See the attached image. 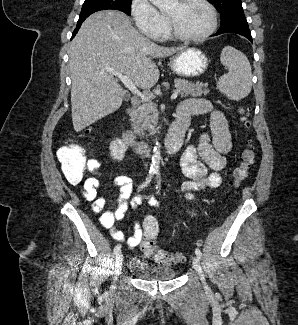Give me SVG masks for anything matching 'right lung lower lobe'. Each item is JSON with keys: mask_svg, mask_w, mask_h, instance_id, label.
<instances>
[{"mask_svg": "<svg viewBox=\"0 0 298 325\" xmlns=\"http://www.w3.org/2000/svg\"><path fill=\"white\" fill-rule=\"evenodd\" d=\"M82 22H83V20H78V22H77V26H76V28H75V30H74V32H73V37H74V36L76 35V33L78 32V30H79V28H80Z\"/></svg>", "mask_w": 298, "mask_h": 325, "instance_id": "obj_1", "label": "right lung lower lobe"}]
</instances>
